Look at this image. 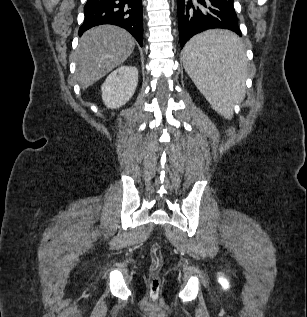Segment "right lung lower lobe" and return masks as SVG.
I'll use <instances>...</instances> for the list:
<instances>
[{"instance_id":"right-lung-lower-lobe-1","label":"right lung lower lobe","mask_w":307,"mask_h":317,"mask_svg":"<svg viewBox=\"0 0 307 317\" xmlns=\"http://www.w3.org/2000/svg\"><path fill=\"white\" fill-rule=\"evenodd\" d=\"M84 14L85 19L79 29L80 36L94 26L113 24L129 31L142 46V0H87Z\"/></svg>"}]
</instances>
